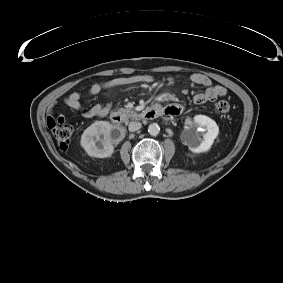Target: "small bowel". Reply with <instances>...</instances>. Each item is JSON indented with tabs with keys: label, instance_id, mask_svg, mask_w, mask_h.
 Segmentation results:
<instances>
[{
	"label": "small bowel",
	"instance_id": "small-bowel-1",
	"mask_svg": "<svg viewBox=\"0 0 283 283\" xmlns=\"http://www.w3.org/2000/svg\"><path fill=\"white\" fill-rule=\"evenodd\" d=\"M152 81V77L150 75H135V76H125V77H116L110 79L108 81H97L93 82L87 90V95L94 96L101 93L104 90L121 87L130 84H138V83H149ZM191 82L195 85L205 87V90L202 92H198L193 96V101L195 104H204L206 102L214 101L218 97L225 96L227 91L223 86L215 85L212 86V82L209 77L204 74L196 73L191 76ZM84 97V94L73 92L66 96L62 103L75 110L81 112V115L84 118H95V117H104L109 112V105H96L89 108H84L81 104V99ZM169 95H165V99H170ZM57 102L52 103L48 107V117L47 124L49 127H53L57 123H64L65 118L60 115L55 117L53 115L54 110L57 106ZM168 115H178L181 113V108L179 106H169L165 109Z\"/></svg>",
	"mask_w": 283,
	"mask_h": 283
}]
</instances>
